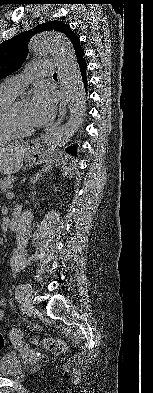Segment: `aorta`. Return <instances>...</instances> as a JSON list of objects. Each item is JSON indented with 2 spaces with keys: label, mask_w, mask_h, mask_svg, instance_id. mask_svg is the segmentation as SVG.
Wrapping results in <instances>:
<instances>
[{
  "label": "aorta",
  "mask_w": 153,
  "mask_h": 393,
  "mask_svg": "<svg viewBox=\"0 0 153 393\" xmlns=\"http://www.w3.org/2000/svg\"><path fill=\"white\" fill-rule=\"evenodd\" d=\"M28 48L33 56L50 54L56 60L57 75L68 104L70 118L64 125L49 129L44 141L50 146L63 145L80 128L86 112L85 90L74 47L66 36L58 32L45 31L36 34L30 40ZM33 217L31 209L25 210L15 228V243L18 248L12 255L11 267L16 272L23 271L28 260L27 251L31 241L29 235Z\"/></svg>",
  "instance_id": "762f6f07"
}]
</instances>
